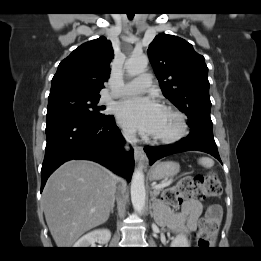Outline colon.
<instances>
[{
    "mask_svg": "<svg viewBox=\"0 0 261 261\" xmlns=\"http://www.w3.org/2000/svg\"><path fill=\"white\" fill-rule=\"evenodd\" d=\"M222 193V185L213 171L203 175L185 177L175 186L164 191L162 198L170 207L177 209L184 201L203 200L218 197ZM217 221L207 215L199 223V230L196 234L199 247H209L217 232Z\"/></svg>",
    "mask_w": 261,
    "mask_h": 261,
    "instance_id": "colon-1",
    "label": "colon"
}]
</instances>
